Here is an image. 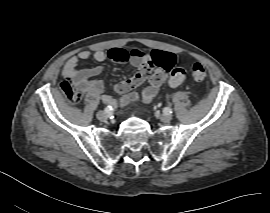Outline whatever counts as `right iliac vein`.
I'll return each instance as SVG.
<instances>
[{
  "label": "right iliac vein",
  "mask_w": 270,
  "mask_h": 213,
  "mask_svg": "<svg viewBox=\"0 0 270 213\" xmlns=\"http://www.w3.org/2000/svg\"><path fill=\"white\" fill-rule=\"evenodd\" d=\"M97 118L100 120V121H104L105 119H107V113L105 111H99L97 113Z\"/></svg>",
  "instance_id": "right-iliac-vein-1"
}]
</instances>
